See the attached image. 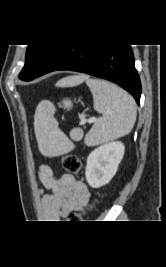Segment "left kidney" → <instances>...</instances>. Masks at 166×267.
I'll return each mask as SVG.
<instances>
[{
    "instance_id": "5707ae66",
    "label": "left kidney",
    "mask_w": 166,
    "mask_h": 267,
    "mask_svg": "<svg viewBox=\"0 0 166 267\" xmlns=\"http://www.w3.org/2000/svg\"><path fill=\"white\" fill-rule=\"evenodd\" d=\"M124 151V144L120 141L94 149L87 158L85 176L88 184L93 188L108 184L117 172Z\"/></svg>"
}]
</instances>
